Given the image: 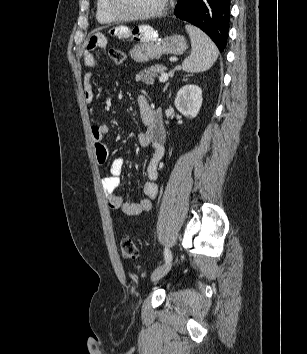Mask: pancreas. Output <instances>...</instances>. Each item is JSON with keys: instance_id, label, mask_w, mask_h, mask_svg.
<instances>
[{"instance_id": "pancreas-1", "label": "pancreas", "mask_w": 307, "mask_h": 354, "mask_svg": "<svg viewBox=\"0 0 307 354\" xmlns=\"http://www.w3.org/2000/svg\"><path fill=\"white\" fill-rule=\"evenodd\" d=\"M165 67L163 65H155L145 68L136 75V81H142L146 84H152L158 74L163 73Z\"/></svg>"}]
</instances>
